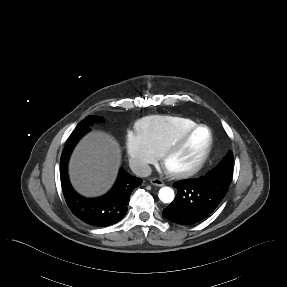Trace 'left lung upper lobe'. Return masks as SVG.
Segmentation results:
<instances>
[{
    "label": "left lung upper lobe",
    "instance_id": "left-lung-upper-lobe-1",
    "mask_svg": "<svg viewBox=\"0 0 287 287\" xmlns=\"http://www.w3.org/2000/svg\"><path fill=\"white\" fill-rule=\"evenodd\" d=\"M232 167H233V154L230 151L228 153V155L222 160V162L219 163L218 166H216V169H222L224 170L225 174L229 177V179L231 178V173H232Z\"/></svg>",
    "mask_w": 287,
    "mask_h": 287
}]
</instances>
